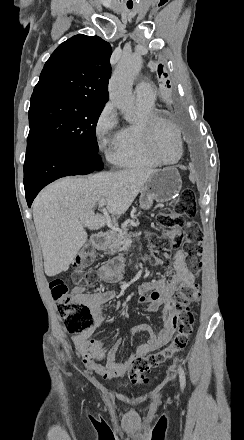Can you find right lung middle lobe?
<instances>
[{
  "mask_svg": "<svg viewBox=\"0 0 244 440\" xmlns=\"http://www.w3.org/2000/svg\"><path fill=\"white\" fill-rule=\"evenodd\" d=\"M105 103L85 99L31 100L27 143L52 142L98 154L96 124Z\"/></svg>",
  "mask_w": 244,
  "mask_h": 440,
  "instance_id": "1",
  "label": "right lung middle lobe"
}]
</instances>
